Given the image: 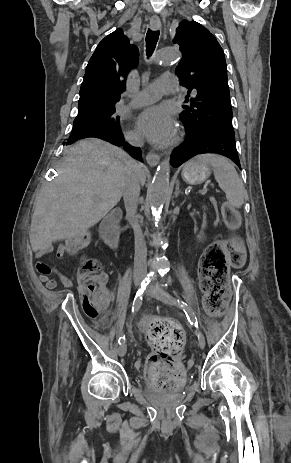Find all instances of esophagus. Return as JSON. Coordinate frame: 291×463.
<instances>
[{
  "mask_svg": "<svg viewBox=\"0 0 291 463\" xmlns=\"http://www.w3.org/2000/svg\"><path fill=\"white\" fill-rule=\"evenodd\" d=\"M150 27L153 30H157L161 27V21L159 17L154 16L150 19ZM146 161L149 165L156 166L160 161V156L153 151H149L146 155Z\"/></svg>",
  "mask_w": 291,
  "mask_h": 463,
  "instance_id": "1",
  "label": "esophagus"
}]
</instances>
